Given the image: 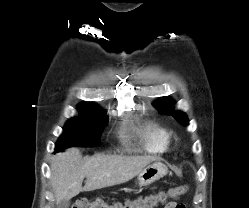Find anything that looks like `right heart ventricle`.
I'll return each instance as SVG.
<instances>
[{"label":"right heart ventricle","mask_w":249,"mask_h":208,"mask_svg":"<svg viewBox=\"0 0 249 208\" xmlns=\"http://www.w3.org/2000/svg\"><path fill=\"white\" fill-rule=\"evenodd\" d=\"M143 147L151 153H163L171 144V133L154 121L145 122L138 130Z\"/></svg>","instance_id":"right-heart-ventricle-1"}]
</instances>
